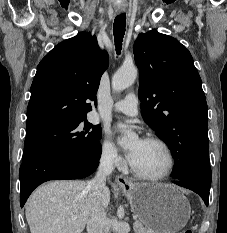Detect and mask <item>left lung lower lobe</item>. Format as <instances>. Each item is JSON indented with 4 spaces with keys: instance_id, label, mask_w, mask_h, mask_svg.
Listing matches in <instances>:
<instances>
[{
    "instance_id": "0a47b994",
    "label": "left lung lower lobe",
    "mask_w": 227,
    "mask_h": 233,
    "mask_svg": "<svg viewBox=\"0 0 227 233\" xmlns=\"http://www.w3.org/2000/svg\"><path fill=\"white\" fill-rule=\"evenodd\" d=\"M176 184L185 187L187 189H190L197 194H199L202 199L204 200L205 204L208 205L209 201V190L210 188L205 187L203 184L196 182V181H190V180H178L175 182Z\"/></svg>"
}]
</instances>
